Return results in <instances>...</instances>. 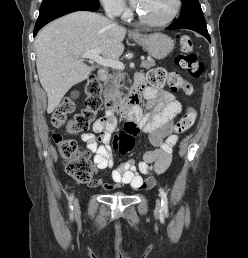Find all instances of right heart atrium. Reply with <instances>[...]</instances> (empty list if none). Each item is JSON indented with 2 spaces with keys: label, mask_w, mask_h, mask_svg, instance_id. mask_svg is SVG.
<instances>
[{
  "label": "right heart atrium",
  "mask_w": 248,
  "mask_h": 258,
  "mask_svg": "<svg viewBox=\"0 0 248 258\" xmlns=\"http://www.w3.org/2000/svg\"><path fill=\"white\" fill-rule=\"evenodd\" d=\"M105 11L114 16H125L128 13L123 0H100Z\"/></svg>",
  "instance_id": "1"
}]
</instances>
